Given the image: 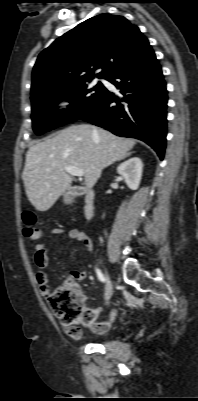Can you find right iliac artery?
<instances>
[{
  "label": "right iliac artery",
  "instance_id": "82829eb1",
  "mask_svg": "<svg viewBox=\"0 0 198 401\" xmlns=\"http://www.w3.org/2000/svg\"><path fill=\"white\" fill-rule=\"evenodd\" d=\"M96 274H97V277H98V279L100 281L105 282V277H104L103 273L99 269H96Z\"/></svg>",
  "mask_w": 198,
  "mask_h": 401
}]
</instances>
